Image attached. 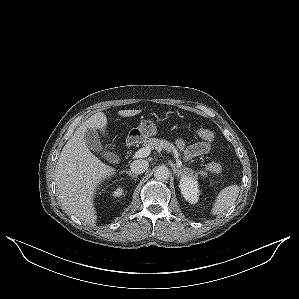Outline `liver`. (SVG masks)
<instances>
[{
  "label": "liver",
  "instance_id": "6515ba94",
  "mask_svg": "<svg viewBox=\"0 0 299 299\" xmlns=\"http://www.w3.org/2000/svg\"><path fill=\"white\" fill-rule=\"evenodd\" d=\"M141 110H120L121 117H131ZM107 118L98 112L84 121L63 147L55 168L58 198L63 210L94 225L97 220L94 195L97 187L116 173V169L104 164L88 148L85 131L99 129L105 134Z\"/></svg>",
  "mask_w": 299,
  "mask_h": 299
}]
</instances>
